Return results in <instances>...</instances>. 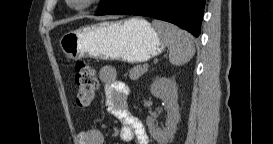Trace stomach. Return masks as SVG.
<instances>
[{
  "label": "stomach",
  "mask_w": 273,
  "mask_h": 144,
  "mask_svg": "<svg viewBox=\"0 0 273 144\" xmlns=\"http://www.w3.org/2000/svg\"><path fill=\"white\" fill-rule=\"evenodd\" d=\"M59 44L69 59L89 57L127 63L146 62L165 49L158 31L139 17L80 27L65 33Z\"/></svg>",
  "instance_id": "obj_1"
}]
</instances>
